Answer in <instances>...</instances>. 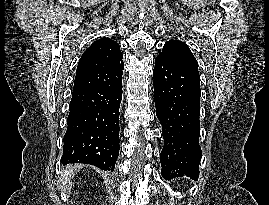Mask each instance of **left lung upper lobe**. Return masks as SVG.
Masks as SVG:
<instances>
[{
    "label": "left lung upper lobe",
    "mask_w": 269,
    "mask_h": 205,
    "mask_svg": "<svg viewBox=\"0 0 269 205\" xmlns=\"http://www.w3.org/2000/svg\"><path fill=\"white\" fill-rule=\"evenodd\" d=\"M159 56L177 64L188 65L198 69V62L191 53L189 47L179 40H170L166 42Z\"/></svg>",
    "instance_id": "left-lung-upper-lobe-1"
}]
</instances>
